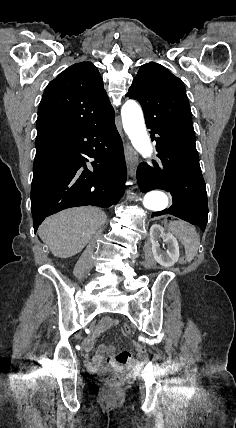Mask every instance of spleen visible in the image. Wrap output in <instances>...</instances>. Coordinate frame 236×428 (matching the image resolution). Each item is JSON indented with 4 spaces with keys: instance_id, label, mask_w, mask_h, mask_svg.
Returning a JSON list of instances; mask_svg holds the SVG:
<instances>
[{
    "instance_id": "spleen-1",
    "label": "spleen",
    "mask_w": 236,
    "mask_h": 428,
    "mask_svg": "<svg viewBox=\"0 0 236 428\" xmlns=\"http://www.w3.org/2000/svg\"><path fill=\"white\" fill-rule=\"evenodd\" d=\"M169 232H172V234L178 238L179 242L183 244L187 262H192L198 252L200 244L199 236L194 226H190V224L178 220V222H170Z\"/></svg>"
}]
</instances>
